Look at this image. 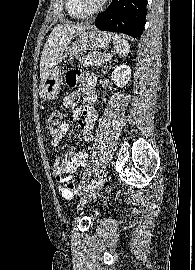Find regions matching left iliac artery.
I'll return each mask as SVG.
<instances>
[{
    "instance_id": "obj_1",
    "label": "left iliac artery",
    "mask_w": 195,
    "mask_h": 270,
    "mask_svg": "<svg viewBox=\"0 0 195 270\" xmlns=\"http://www.w3.org/2000/svg\"><path fill=\"white\" fill-rule=\"evenodd\" d=\"M95 182H96V180L93 179V180L90 182V184L86 187L85 192H88V191L91 189V187L95 184Z\"/></svg>"
}]
</instances>
